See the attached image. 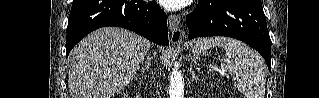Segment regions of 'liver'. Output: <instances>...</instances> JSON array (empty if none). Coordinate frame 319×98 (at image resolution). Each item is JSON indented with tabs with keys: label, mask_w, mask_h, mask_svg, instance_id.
I'll use <instances>...</instances> for the list:
<instances>
[{
	"label": "liver",
	"mask_w": 319,
	"mask_h": 98,
	"mask_svg": "<svg viewBox=\"0 0 319 98\" xmlns=\"http://www.w3.org/2000/svg\"><path fill=\"white\" fill-rule=\"evenodd\" d=\"M151 42L122 28L87 35L69 54L70 98H112L136 76Z\"/></svg>",
	"instance_id": "6515ba94"
}]
</instances>
